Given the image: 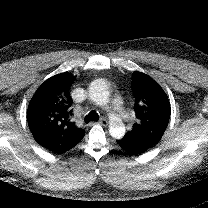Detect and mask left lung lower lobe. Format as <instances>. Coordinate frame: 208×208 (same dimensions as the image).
I'll list each match as a JSON object with an SVG mask.
<instances>
[{
    "instance_id": "obj_1",
    "label": "left lung lower lobe",
    "mask_w": 208,
    "mask_h": 208,
    "mask_svg": "<svg viewBox=\"0 0 208 208\" xmlns=\"http://www.w3.org/2000/svg\"><path fill=\"white\" fill-rule=\"evenodd\" d=\"M117 143L123 150H125L126 152L130 154H135V155L142 154L150 149L140 143L131 141L126 138L117 140Z\"/></svg>"
}]
</instances>
